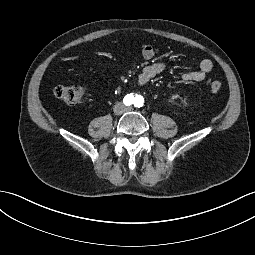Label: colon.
<instances>
[{
	"mask_svg": "<svg viewBox=\"0 0 255 255\" xmlns=\"http://www.w3.org/2000/svg\"><path fill=\"white\" fill-rule=\"evenodd\" d=\"M222 88V82L220 80H212L210 82V90L213 93L218 92ZM55 97L60 99L69 105H77L82 102L84 90L80 86H56L53 90Z\"/></svg>",
	"mask_w": 255,
	"mask_h": 255,
	"instance_id": "5ec220e1",
	"label": "colon"
}]
</instances>
